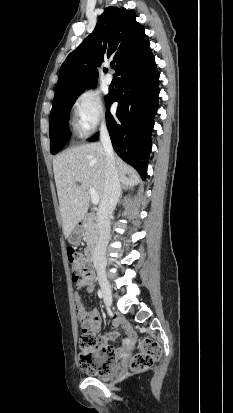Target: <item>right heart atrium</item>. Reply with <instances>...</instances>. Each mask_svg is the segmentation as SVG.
Masks as SVG:
<instances>
[{
  "mask_svg": "<svg viewBox=\"0 0 233 413\" xmlns=\"http://www.w3.org/2000/svg\"><path fill=\"white\" fill-rule=\"evenodd\" d=\"M73 111L82 134L89 135L106 122L102 100L97 93L91 90H85L76 97Z\"/></svg>",
  "mask_w": 233,
  "mask_h": 413,
  "instance_id": "obj_1",
  "label": "right heart atrium"
}]
</instances>
